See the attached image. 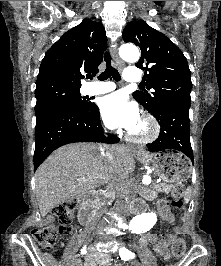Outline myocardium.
<instances>
[{"mask_svg": "<svg viewBox=\"0 0 221 266\" xmlns=\"http://www.w3.org/2000/svg\"><path fill=\"white\" fill-rule=\"evenodd\" d=\"M141 123L143 125V131H129V140L136 143H147L154 140L160 132V126L158 122L152 116H146L143 118Z\"/></svg>", "mask_w": 221, "mask_h": 266, "instance_id": "myocardium-1", "label": "myocardium"}]
</instances>
